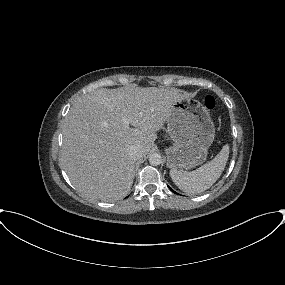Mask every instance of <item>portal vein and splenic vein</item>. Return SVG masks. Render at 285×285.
Wrapping results in <instances>:
<instances>
[{"mask_svg": "<svg viewBox=\"0 0 285 285\" xmlns=\"http://www.w3.org/2000/svg\"><path fill=\"white\" fill-rule=\"evenodd\" d=\"M124 122L126 123V124H128V122L124 119Z\"/></svg>", "mask_w": 285, "mask_h": 285, "instance_id": "obj_1", "label": "portal vein and splenic vein"}]
</instances>
